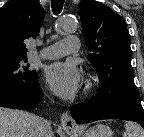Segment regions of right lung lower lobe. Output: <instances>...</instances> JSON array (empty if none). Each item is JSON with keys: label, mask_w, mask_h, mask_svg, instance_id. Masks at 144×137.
Segmentation results:
<instances>
[{"label": "right lung lower lobe", "mask_w": 144, "mask_h": 137, "mask_svg": "<svg viewBox=\"0 0 144 137\" xmlns=\"http://www.w3.org/2000/svg\"><path fill=\"white\" fill-rule=\"evenodd\" d=\"M42 97L43 92L39 84L33 93L13 88H4L0 89V107L32 110Z\"/></svg>", "instance_id": "right-lung-lower-lobe-1"}]
</instances>
